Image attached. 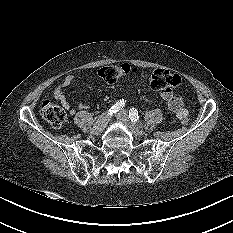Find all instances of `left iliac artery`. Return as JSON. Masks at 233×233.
I'll list each match as a JSON object with an SVG mask.
<instances>
[{"mask_svg":"<svg viewBox=\"0 0 233 233\" xmlns=\"http://www.w3.org/2000/svg\"><path fill=\"white\" fill-rule=\"evenodd\" d=\"M129 118L133 122H138L139 121V115H138L137 109L131 108L129 110Z\"/></svg>","mask_w":233,"mask_h":233,"instance_id":"obj_1","label":"left iliac artery"}]
</instances>
